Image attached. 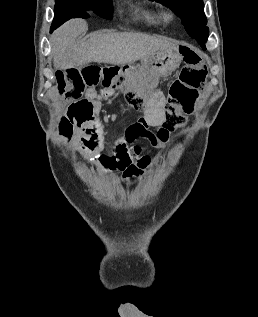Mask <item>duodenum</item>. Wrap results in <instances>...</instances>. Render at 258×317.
Wrapping results in <instances>:
<instances>
[{"label": "duodenum", "instance_id": "obj_1", "mask_svg": "<svg viewBox=\"0 0 258 317\" xmlns=\"http://www.w3.org/2000/svg\"><path fill=\"white\" fill-rule=\"evenodd\" d=\"M118 88L112 85H105L99 92L96 89L91 90L88 93V98L94 102L100 103L101 100H108L113 97L117 92Z\"/></svg>", "mask_w": 258, "mask_h": 317}]
</instances>
